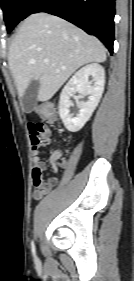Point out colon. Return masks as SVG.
Here are the masks:
<instances>
[{
	"label": "colon",
	"instance_id": "5ec220e1",
	"mask_svg": "<svg viewBox=\"0 0 134 281\" xmlns=\"http://www.w3.org/2000/svg\"><path fill=\"white\" fill-rule=\"evenodd\" d=\"M40 115L48 121H53L56 117V112L53 106L49 104H42L39 107Z\"/></svg>",
	"mask_w": 134,
	"mask_h": 281
}]
</instances>
